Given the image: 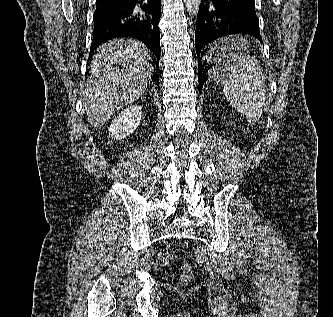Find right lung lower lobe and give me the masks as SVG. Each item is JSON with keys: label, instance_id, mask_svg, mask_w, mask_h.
I'll list each match as a JSON object with an SVG mask.
<instances>
[{"label": "right lung lower lobe", "instance_id": "right-lung-lower-lobe-1", "mask_svg": "<svg viewBox=\"0 0 333 317\" xmlns=\"http://www.w3.org/2000/svg\"><path fill=\"white\" fill-rule=\"evenodd\" d=\"M161 11L160 0H112L97 2L90 52L103 42L119 37L135 38L146 44L156 55L154 68H159ZM159 85V74L152 77Z\"/></svg>", "mask_w": 333, "mask_h": 317}]
</instances>
